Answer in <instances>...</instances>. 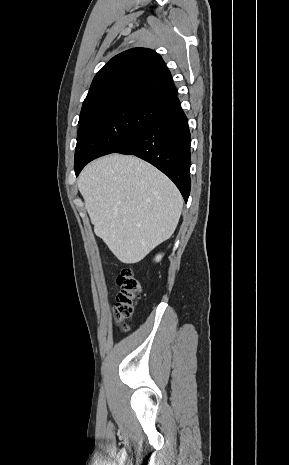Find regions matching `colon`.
Here are the masks:
<instances>
[{
    "mask_svg": "<svg viewBox=\"0 0 289 465\" xmlns=\"http://www.w3.org/2000/svg\"><path fill=\"white\" fill-rule=\"evenodd\" d=\"M117 284L120 287V291L116 297L114 314L116 320L122 326H126L125 321L133 316L135 306L140 297L141 284L130 268H125L120 272L117 277Z\"/></svg>",
    "mask_w": 289,
    "mask_h": 465,
    "instance_id": "obj_1",
    "label": "colon"
}]
</instances>
